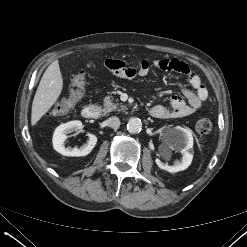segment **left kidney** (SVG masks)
Masks as SVG:
<instances>
[{"mask_svg": "<svg viewBox=\"0 0 247 247\" xmlns=\"http://www.w3.org/2000/svg\"><path fill=\"white\" fill-rule=\"evenodd\" d=\"M169 148L171 150H177L182 153L181 161L177 160L173 165L170 166L157 159L156 164L158 167L170 173L187 169L193 159V154L190 152L193 148V136L191 131L182 127H175L170 139Z\"/></svg>", "mask_w": 247, "mask_h": 247, "instance_id": "1", "label": "left kidney"}]
</instances>
